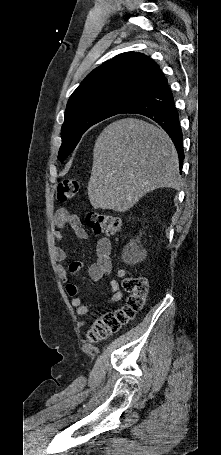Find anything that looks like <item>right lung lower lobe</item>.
<instances>
[{"label": "right lung lower lobe", "instance_id": "1", "mask_svg": "<svg viewBox=\"0 0 221 455\" xmlns=\"http://www.w3.org/2000/svg\"><path fill=\"white\" fill-rule=\"evenodd\" d=\"M122 113L141 114L157 122L171 137L178 152L180 168L182 167L184 152L179 115L167 79L163 75L145 96L126 107Z\"/></svg>", "mask_w": 221, "mask_h": 455}]
</instances>
